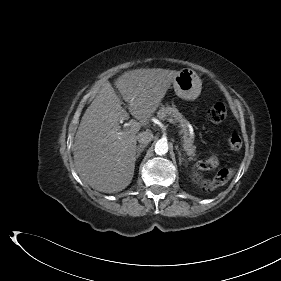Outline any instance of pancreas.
Masks as SVG:
<instances>
[{
  "label": "pancreas",
  "instance_id": "1",
  "mask_svg": "<svg viewBox=\"0 0 281 281\" xmlns=\"http://www.w3.org/2000/svg\"><path fill=\"white\" fill-rule=\"evenodd\" d=\"M157 117L160 120H166L167 117H171L179 123L181 133L183 134L182 143L184 151L189 156V160H196V146L194 145V136L189 132L190 123L183 117V115L178 111L175 105H161L159 111L157 112Z\"/></svg>",
  "mask_w": 281,
  "mask_h": 281
}]
</instances>
